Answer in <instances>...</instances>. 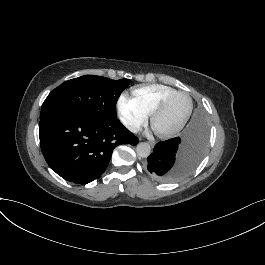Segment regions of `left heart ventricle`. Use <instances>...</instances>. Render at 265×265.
I'll return each instance as SVG.
<instances>
[{
	"label": "left heart ventricle",
	"mask_w": 265,
	"mask_h": 265,
	"mask_svg": "<svg viewBox=\"0 0 265 265\" xmlns=\"http://www.w3.org/2000/svg\"><path fill=\"white\" fill-rule=\"evenodd\" d=\"M187 99L182 94L172 96L161 109L157 118V127L166 130L174 127L183 117Z\"/></svg>",
	"instance_id": "b2bd125f"
}]
</instances>
